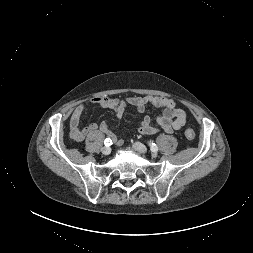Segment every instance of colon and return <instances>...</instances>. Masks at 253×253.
Listing matches in <instances>:
<instances>
[{
    "instance_id": "1",
    "label": "colon",
    "mask_w": 253,
    "mask_h": 253,
    "mask_svg": "<svg viewBox=\"0 0 253 253\" xmlns=\"http://www.w3.org/2000/svg\"><path fill=\"white\" fill-rule=\"evenodd\" d=\"M185 136L188 140H194L196 137L195 132L190 128L186 129Z\"/></svg>"
}]
</instances>
